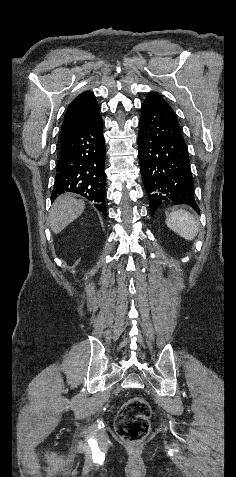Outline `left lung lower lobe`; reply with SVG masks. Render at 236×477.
<instances>
[{
    "label": "left lung lower lobe",
    "mask_w": 236,
    "mask_h": 477,
    "mask_svg": "<svg viewBox=\"0 0 236 477\" xmlns=\"http://www.w3.org/2000/svg\"><path fill=\"white\" fill-rule=\"evenodd\" d=\"M138 148L152 216L165 202L187 204L198 211L188 149L176 114L155 92L142 105Z\"/></svg>",
    "instance_id": "left-lung-lower-lobe-1"
}]
</instances>
